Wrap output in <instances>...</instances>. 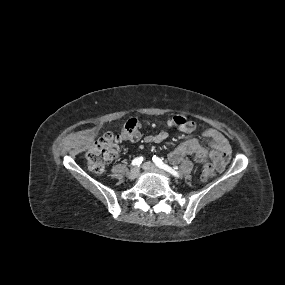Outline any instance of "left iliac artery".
Returning a JSON list of instances; mask_svg holds the SVG:
<instances>
[{"label": "left iliac artery", "instance_id": "obj_1", "mask_svg": "<svg viewBox=\"0 0 285 285\" xmlns=\"http://www.w3.org/2000/svg\"><path fill=\"white\" fill-rule=\"evenodd\" d=\"M152 161L154 162V164L156 165V166H158L159 168H161V169H164L165 171H167V172H169L170 174H172L173 176H175V177H180V174L176 171V170H174V169H172L170 166H168L167 164H165L160 158H158L156 155H154L153 157H152Z\"/></svg>", "mask_w": 285, "mask_h": 285}]
</instances>
